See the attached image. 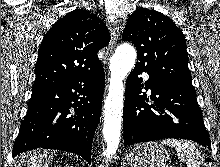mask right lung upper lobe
<instances>
[{
  "instance_id": "obj_1",
  "label": "right lung upper lobe",
  "mask_w": 220,
  "mask_h": 167,
  "mask_svg": "<svg viewBox=\"0 0 220 167\" xmlns=\"http://www.w3.org/2000/svg\"><path fill=\"white\" fill-rule=\"evenodd\" d=\"M110 34L104 23L86 9L59 19L44 35L35 65L32 91L67 83L102 66L97 52Z\"/></svg>"
}]
</instances>
